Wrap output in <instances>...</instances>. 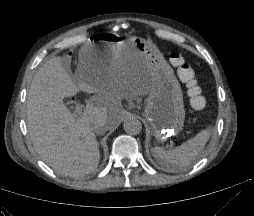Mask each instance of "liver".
Instances as JSON below:
<instances>
[{"label": "liver", "instance_id": "1", "mask_svg": "<svg viewBox=\"0 0 254 216\" xmlns=\"http://www.w3.org/2000/svg\"><path fill=\"white\" fill-rule=\"evenodd\" d=\"M89 54L86 44L73 77L62 57L49 59L35 74L27 98V128L35 150L55 171L69 177L90 174L98 167L99 144L92 124L105 119L107 128L115 126L123 112L121 100L146 96L151 83L144 62L96 73L88 68ZM79 90L95 95L82 115L74 117L63 99Z\"/></svg>", "mask_w": 254, "mask_h": 216}]
</instances>
